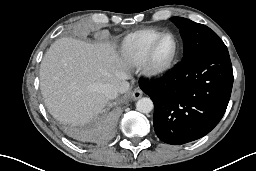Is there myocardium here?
<instances>
[{
    "mask_svg": "<svg viewBox=\"0 0 256 171\" xmlns=\"http://www.w3.org/2000/svg\"><path fill=\"white\" fill-rule=\"evenodd\" d=\"M167 37L172 38L174 42V50L171 57L163 63H159L155 59V52L161 41ZM179 54V43L176 36L172 33H162L150 45L146 57L143 61L144 72L151 77H161L167 74L177 61Z\"/></svg>",
    "mask_w": 256,
    "mask_h": 171,
    "instance_id": "obj_1",
    "label": "myocardium"
}]
</instances>
